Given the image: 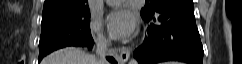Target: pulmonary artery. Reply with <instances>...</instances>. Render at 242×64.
Wrapping results in <instances>:
<instances>
[{"label": "pulmonary artery", "instance_id": "obj_1", "mask_svg": "<svg viewBox=\"0 0 242 64\" xmlns=\"http://www.w3.org/2000/svg\"><path fill=\"white\" fill-rule=\"evenodd\" d=\"M124 0H107V4L114 6V5H119L123 2Z\"/></svg>", "mask_w": 242, "mask_h": 64}]
</instances>
